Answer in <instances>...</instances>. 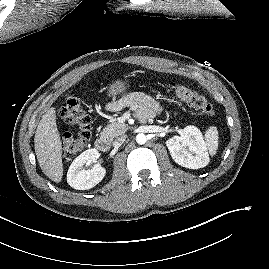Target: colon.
Instances as JSON below:
<instances>
[{"mask_svg": "<svg viewBox=\"0 0 269 269\" xmlns=\"http://www.w3.org/2000/svg\"><path fill=\"white\" fill-rule=\"evenodd\" d=\"M169 87L179 99L203 115H214L215 110L212 104L197 91L175 83H170ZM59 115L66 123L78 129L77 135L65 134L62 141L64 156L67 159H73L85 148L91 137L92 119L83 108L80 100L73 95L66 97Z\"/></svg>", "mask_w": 269, "mask_h": 269, "instance_id": "1", "label": "colon"}]
</instances>
